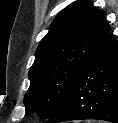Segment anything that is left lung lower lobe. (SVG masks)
<instances>
[{
  "mask_svg": "<svg viewBox=\"0 0 118 123\" xmlns=\"http://www.w3.org/2000/svg\"><path fill=\"white\" fill-rule=\"evenodd\" d=\"M81 119L118 123V45L110 33L78 74L54 123Z\"/></svg>",
  "mask_w": 118,
  "mask_h": 123,
  "instance_id": "left-lung-lower-lobe-1",
  "label": "left lung lower lobe"
}]
</instances>
